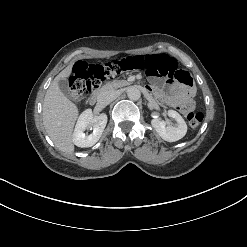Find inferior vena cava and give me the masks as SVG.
I'll use <instances>...</instances> for the list:
<instances>
[{"instance_id": "1", "label": "inferior vena cava", "mask_w": 247, "mask_h": 247, "mask_svg": "<svg viewBox=\"0 0 247 247\" xmlns=\"http://www.w3.org/2000/svg\"><path fill=\"white\" fill-rule=\"evenodd\" d=\"M118 96V92L115 90H106L102 93H100L99 97H98V101L102 104H109L110 102H112L114 99H116Z\"/></svg>"}]
</instances>
